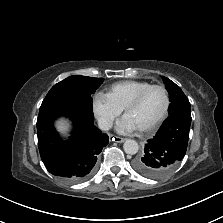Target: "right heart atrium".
<instances>
[{
  "instance_id": "right-heart-atrium-1",
  "label": "right heart atrium",
  "mask_w": 223,
  "mask_h": 223,
  "mask_svg": "<svg viewBox=\"0 0 223 223\" xmlns=\"http://www.w3.org/2000/svg\"><path fill=\"white\" fill-rule=\"evenodd\" d=\"M93 112L100 125L108 129L122 110L104 93H96L92 102Z\"/></svg>"
}]
</instances>
